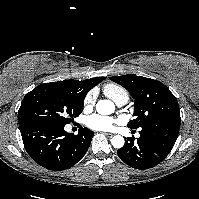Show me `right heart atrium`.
<instances>
[{"mask_svg": "<svg viewBox=\"0 0 199 199\" xmlns=\"http://www.w3.org/2000/svg\"><path fill=\"white\" fill-rule=\"evenodd\" d=\"M92 102V94H88L85 98L84 104L89 105Z\"/></svg>", "mask_w": 199, "mask_h": 199, "instance_id": "obj_1", "label": "right heart atrium"}]
</instances>
